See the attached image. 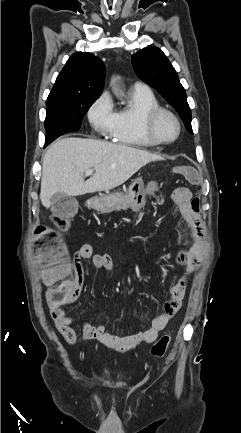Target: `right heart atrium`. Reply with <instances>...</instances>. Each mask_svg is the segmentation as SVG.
I'll return each mask as SVG.
<instances>
[{"label": "right heart atrium", "mask_w": 241, "mask_h": 433, "mask_svg": "<svg viewBox=\"0 0 241 433\" xmlns=\"http://www.w3.org/2000/svg\"><path fill=\"white\" fill-rule=\"evenodd\" d=\"M88 119L92 127L98 132L104 135L112 132L115 111L108 95L104 94L95 101L88 111Z\"/></svg>", "instance_id": "1"}]
</instances>
